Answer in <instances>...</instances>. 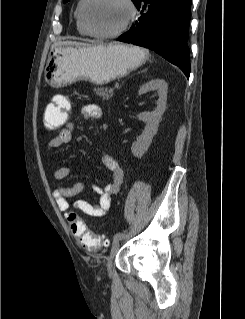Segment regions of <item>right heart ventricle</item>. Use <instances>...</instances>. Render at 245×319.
Wrapping results in <instances>:
<instances>
[{
  "mask_svg": "<svg viewBox=\"0 0 245 319\" xmlns=\"http://www.w3.org/2000/svg\"><path fill=\"white\" fill-rule=\"evenodd\" d=\"M83 2H84V0H79V2L77 3L76 9H75L74 16H75L76 28H77V31L81 35H89L86 32V30L82 24V21H81V7L83 5Z\"/></svg>",
  "mask_w": 245,
  "mask_h": 319,
  "instance_id": "1",
  "label": "right heart ventricle"
}]
</instances>
